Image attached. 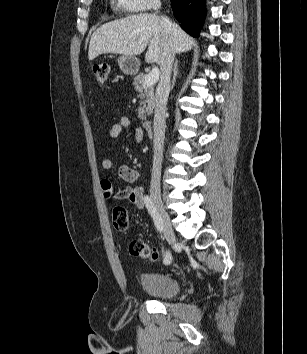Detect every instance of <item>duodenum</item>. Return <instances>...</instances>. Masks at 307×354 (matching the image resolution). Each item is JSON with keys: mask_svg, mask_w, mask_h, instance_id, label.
Instances as JSON below:
<instances>
[{"mask_svg": "<svg viewBox=\"0 0 307 354\" xmlns=\"http://www.w3.org/2000/svg\"><path fill=\"white\" fill-rule=\"evenodd\" d=\"M142 126L148 135L153 136V123L151 120H145Z\"/></svg>", "mask_w": 307, "mask_h": 354, "instance_id": "duodenum-1", "label": "duodenum"}]
</instances>
